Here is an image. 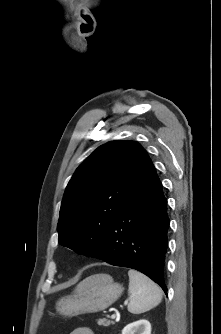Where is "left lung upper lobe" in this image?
Here are the masks:
<instances>
[{
  "label": "left lung upper lobe",
  "instance_id": "5c2ea615",
  "mask_svg": "<svg viewBox=\"0 0 221 334\" xmlns=\"http://www.w3.org/2000/svg\"><path fill=\"white\" fill-rule=\"evenodd\" d=\"M151 165L146 150L135 141H111L97 148L67 185L57 227L59 243L99 258L114 217Z\"/></svg>",
  "mask_w": 221,
  "mask_h": 334
}]
</instances>
